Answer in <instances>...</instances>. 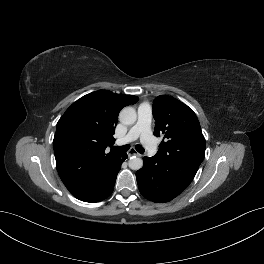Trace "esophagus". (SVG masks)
<instances>
[{"instance_id":"obj_1","label":"esophagus","mask_w":264,"mask_h":264,"mask_svg":"<svg viewBox=\"0 0 264 264\" xmlns=\"http://www.w3.org/2000/svg\"><path fill=\"white\" fill-rule=\"evenodd\" d=\"M127 155L129 157L131 156H140V154L135 150V149H130L128 152H127Z\"/></svg>"}]
</instances>
